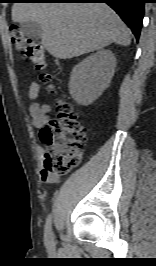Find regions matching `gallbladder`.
I'll list each match as a JSON object with an SVG mask.
<instances>
[{
    "label": "gallbladder",
    "instance_id": "obj_1",
    "mask_svg": "<svg viewBox=\"0 0 156 266\" xmlns=\"http://www.w3.org/2000/svg\"><path fill=\"white\" fill-rule=\"evenodd\" d=\"M24 35L31 39H39L42 35V28L36 22H25L21 24Z\"/></svg>",
    "mask_w": 156,
    "mask_h": 266
}]
</instances>
